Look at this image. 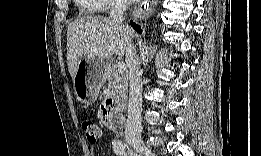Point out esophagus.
Instances as JSON below:
<instances>
[{
	"mask_svg": "<svg viewBox=\"0 0 261 156\" xmlns=\"http://www.w3.org/2000/svg\"><path fill=\"white\" fill-rule=\"evenodd\" d=\"M157 5L156 1H152L150 4L144 5V7H142V5L133 11V15L134 17H145L146 15H148L149 13H151L154 10V7Z\"/></svg>",
	"mask_w": 261,
	"mask_h": 156,
	"instance_id": "esophagus-1",
	"label": "esophagus"
}]
</instances>
